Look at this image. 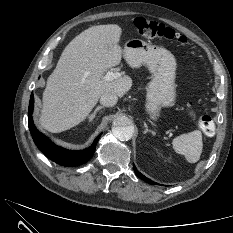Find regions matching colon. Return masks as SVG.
<instances>
[{"label":"colon","instance_id":"colon-1","mask_svg":"<svg viewBox=\"0 0 233 233\" xmlns=\"http://www.w3.org/2000/svg\"><path fill=\"white\" fill-rule=\"evenodd\" d=\"M134 25L137 29V32L144 37L176 41L183 46H188L190 44L184 35H181L175 32L172 28L156 21L138 17L134 20ZM199 127L202 132L208 136H212L215 132L214 121L208 115L200 117Z\"/></svg>","mask_w":233,"mask_h":233}]
</instances>
